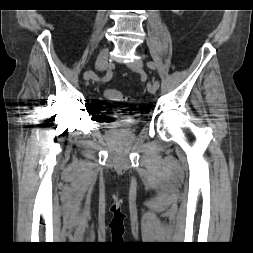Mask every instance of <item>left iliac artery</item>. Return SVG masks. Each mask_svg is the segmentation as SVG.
<instances>
[{"label":"left iliac artery","instance_id":"left-iliac-artery-1","mask_svg":"<svg viewBox=\"0 0 253 253\" xmlns=\"http://www.w3.org/2000/svg\"><path fill=\"white\" fill-rule=\"evenodd\" d=\"M147 66H148L150 69H152V70H155V68H156L155 64H154L152 61L147 62ZM154 86H155L157 89L159 88V81H158V80H156V81L154 82Z\"/></svg>","mask_w":253,"mask_h":253}]
</instances>
